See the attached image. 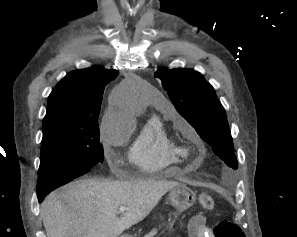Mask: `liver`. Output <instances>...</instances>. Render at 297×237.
<instances>
[{"mask_svg": "<svg viewBox=\"0 0 297 237\" xmlns=\"http://www.w3.org/2000/svg\"><path fill=\"white\" fill-rule=\"evenodd\" d=\"M167 180H81L52 192L41 204L47 237H118L146 218L169 190ZM126 212L117 217L118 208Z\"/></svg>", "mask_w": 297, "mask_h": 237, "instance_id": "6515ba94", "label": "liver"}]
</instances>
